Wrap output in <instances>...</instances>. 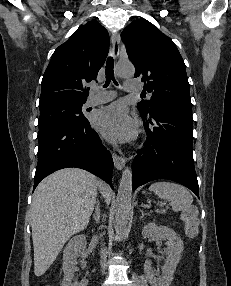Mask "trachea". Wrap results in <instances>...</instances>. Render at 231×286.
Listing matches in <instances>:
<instances>
[{"label": "trachea", "mask_w": 231, "mask_h": 286, "mask_svg": "<svg viewBox=\"0 0 231 286\" xmlns=\"http://www.w3.org/2000/svg\"><path fill=\"white\" fill-rule=\"evenodd\" d=\"M105 74H106V82L104 87H107L111 82V80L115 83V85H118L114 77V60L112 57L107 58Z\"/></svg>", "instance_id": "3493384b"}]
</instances>
